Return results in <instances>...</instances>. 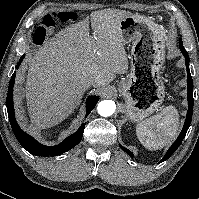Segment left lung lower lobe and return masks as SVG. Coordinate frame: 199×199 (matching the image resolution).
<instances>
[{
	"label": "left lung lower lobe",
	"instance_id": "1",
	"mask_svg": "<svg viewBox=\"0 0 199 199\" xmlns=\"http://www.w3.org/2000/svg\"><path fill=\"white\" fill-rule=\"evenodd\" d=\"M179 46H180V50L182 52V54L185 57V64H186V68H187V89H188V111H187V117L183 126V129L180 133V135L178 136L177 140L172 144V146L168 149V151L166 152V154L164 155V157L161 159L160 162H164L166 161L176 150L177 148L180 146L181 142L183 141L187 130L190 126L191 120H192V114H193V105H194V99H193V80L190 74V69H189V55L187 53V51L185 50V48L183 47V43L182 40L179 39ZM120 148L122 150H124L130 157H133V153L120 145Z\"/></svg>",
	"mask_w": 199,
	"mask_h": 199
}]
</instances>
